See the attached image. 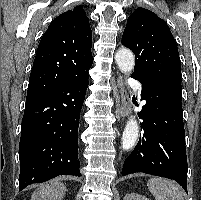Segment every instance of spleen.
<instances>
[{"mask_svg": "<svg viewBox=\"0 0 201 200\" xmlns=\"http://www.w3.org/2000/svg\"><path fill=\"white\" fill-rule=\"evenodd\" d=\"M147 186L156 200H184L180 186L173 181L154 177Z\"/></svg>", "mask_w": 201, "mask_h": 200, "instance_id": "3e777b00", "label": "spleen"}]
</instances>
